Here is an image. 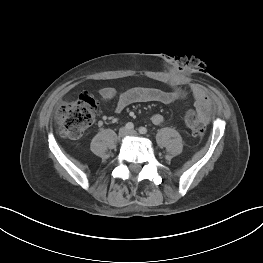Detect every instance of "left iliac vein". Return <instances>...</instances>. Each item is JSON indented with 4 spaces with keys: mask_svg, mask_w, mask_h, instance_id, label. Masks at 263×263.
<instances>
[{
    "mask_svg": "<svg viewBox=\"0 0 263 263\" xmlns=\"http://www.w3.org/2000/svg\"><path fill=\"white\" fill-rule=\"evenodd\" d=\"M129 135L131 136H136L137 135V132L135 130H131L128 132Z\"/></svg>",
    "mask_w": 263,
    "mask_h": 263,
    "instance_id": "left-iliac-vein-1",
    "label": "left iliac vein"
}]
</instances>
